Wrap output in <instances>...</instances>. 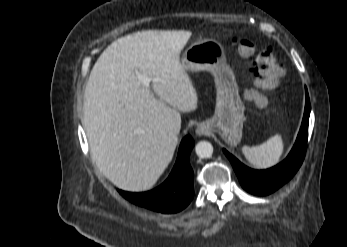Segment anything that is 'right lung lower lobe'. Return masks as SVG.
<instances>
[{
	"instance_id": "98d812e1",
	"label": "right lung lower lobe",
	"mask_w": 347,
	"mask_h": 247,
	"mask_svg": "<svg viewBox=\"0 0 347 247\" xmlns=\"http://www.w3.org/2000/svg\"><path fill=\"white\" fill-rule=\"evenodd\" d=\"M194 141L190 135L183 138L176 163L167 180L154 190L132 193L118 190L132 203L161 213H176L184 209L193 199V170L190 152Z\"/></svg>"
}]
</instances>
